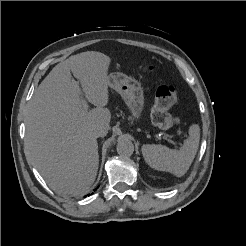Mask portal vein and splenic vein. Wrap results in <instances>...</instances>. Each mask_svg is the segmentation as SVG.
<instances>
[{
  "instance_id": "obj_1",
  "label": "portal vein and splenic vein",
  "mask_w": 246,
  "mask_h": 246,
  "mask_svg": "<svg viewBox=\"0 0 246 246\" xmlns=\"http://www.w3.org/2000/svg\"><path fill=\"white\" fill-rule=\"evenodd\" d=\"M80 96H81V98H82V104H83V107H84V109H86L87 110V108H88V105H87V102L83 99V93L82 92H80ZM164 139H168L166 136H164L163 137ZM170 141V140H169ZM170 142H172V141H170Z\"/></svg>"
}]
</instances>
